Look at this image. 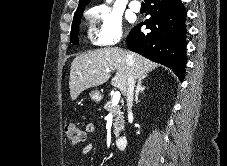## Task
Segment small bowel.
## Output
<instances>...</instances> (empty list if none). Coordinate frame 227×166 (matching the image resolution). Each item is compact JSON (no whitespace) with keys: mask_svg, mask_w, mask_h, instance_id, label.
I'll return each mask as SVG.
<instances>
[{"mask_svg":"<svg viewBox=\"0 0 227 166\" xmlns=\"http://www.w3.org/2000/svg\"><path fill=\"white\" fill-rule=\"evenodd\" d=\"M95 130H96V128H95L94 124L90 123L86 126V132L89 134L94 133ZM93 149H94L93 144L86 145L81 152L80 159H82L84 156L88 155Z\"/></svg>","mask_w":227,"mask_h":166,"instance_id":"1","label":"small bowel"}]
</instances>
